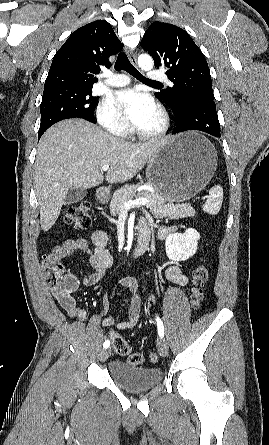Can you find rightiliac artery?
<instances>
[{"label":"right iliac artery","mask_w":269,"mask_h":445,"mask_svg":"<svg viewBox=\"0 0 269 445\" xmlns=\"http://www.w3.org/2000/svg\"><path fill=\"white\" fill-rule=\"evenodd\" d=\"M110 346V341L109 340H106L105 342H104V344H103V347L104 348H108Z\"/></svg>","instance_id":"82829eb1"}]
</instances>
